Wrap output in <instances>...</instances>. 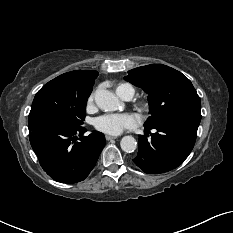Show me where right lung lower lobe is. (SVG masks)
<instances>
[{
	"label": "right lung lower lobe",
	"instance_id": "98d812e1",
	"mask_svg": "<svg viewBox=\"0 0 233 233\" xmlns=\"http://www.w3.org/2000/svg\"><path fill=\"white\" fill-rule=\"evenodd\" d=\"M53 119L29 124V139L41 167L57 182L77 183L94 168L106 140L101 132Z\"/></svg>",
	"mask_w": 233,
	"mask_h": 233
}]
</instances>
